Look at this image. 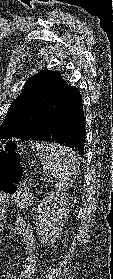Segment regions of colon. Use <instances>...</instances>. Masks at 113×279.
Masks as SVG:
<instances>
[{"instance_id":"obj_1","label":"colon","mask_w":113,"mask_h":279,"mask_svg":"<svg viewBox=\"0 0 113 279\" xmlns=\"http://www.w3.org/2000/svg\"><path fill=\"white\" fill-rule=\"evenodd\" d=\"M23 170L18 159V148L7 144L0 152V191L8 195L21 192Z\"/></svg>"}]
</instances>
